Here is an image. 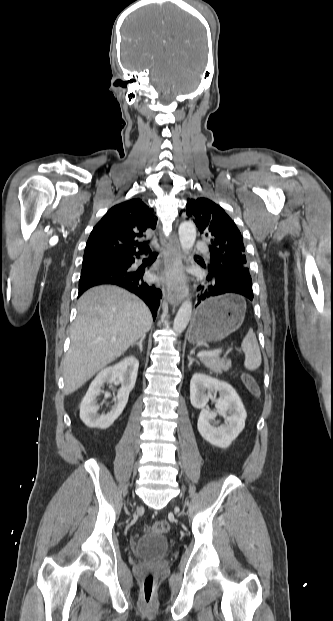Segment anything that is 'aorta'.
<instances>
[{
	"instance_id": "obj_1",
	"label": "aorta",
	"mask_w": 333,
	"mask_h": 621,
	"mask_svg": "<svg viewBox=\"0 0 333 621\" xmlns=\"http://www.w3.org/2000/svg\"><path fill=\"white\" fill-rule=\"evenodd\" d=\"M179 240L181 248L185 253H189L196 240V227L192 222H183L180 224ZM192 313V302L187 298L180 306L173 323V330L180 335L188 325Z\"/></svg>"
}]
</instances>
